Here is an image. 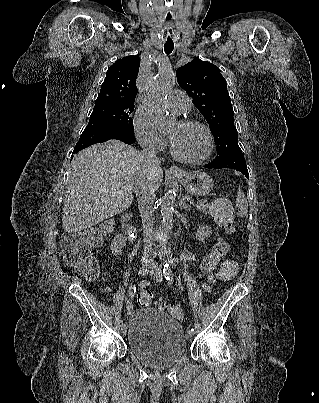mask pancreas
Wrapping results in <instances>:
<instances>
[{"label": "pancreas", "mask_w": 319, "mask_h": 403, "mask_svg": "<svg viewBox=\"0 0 319 403\" xmlns=\"http://www.w3.org/2000/svg\"><path fill=\"white\" fill-rule=\"evenodd\" d=\"M197 210L207 214L208 213V205L206 204V202H201L199 205L196 206Z\"/></svg>", "instance_id": "pancreas-1"}]
</instances>
